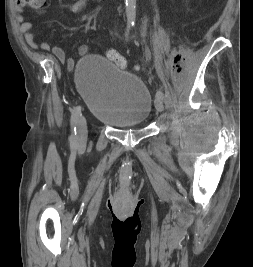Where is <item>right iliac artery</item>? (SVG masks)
Returning a JSON list of instances; mask_svg holds the SVG:
<instances>
[{
  "mask_svg": "<svg viewBox=\"0 0 253 267\" xmlns=\"http://www.w3.org/2000/svg\"><path fill=\"white\" fill-rule=\"evenodd\" d=\"M81 115V106L78 105L74 107L71 112V135H70V145L74 147L78 141V134H77V122L78 118Z\"/></svg>",
  "mask_w": 253,
  "mask_h": 267,
  "instance_id": "1",
  "label": "right iliac artery"
}]
</instances>
